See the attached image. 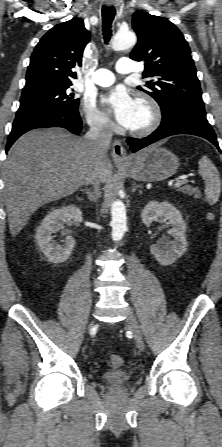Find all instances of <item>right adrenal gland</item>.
<instances>
[{"label":"right adrenal gland","mask_w":222,"mask_h":447,"mask_svg":"<svg viewBox=\"0 0 222 447\" xmlns=\"http://www.w3.org/2000/svg\"><path fill=\"white\" fill-rule=\"evenodd\" d=\"M82 191L87 194V197L90 201H93L97 197L96 191H91L90 189H82Z\"/></svg>","instance_id":"1"}]
</instances>
